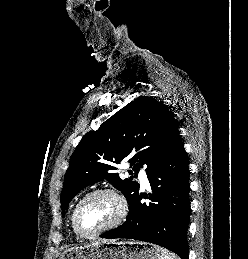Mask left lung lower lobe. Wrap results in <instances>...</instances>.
Masks as SVG:
<instances>
[{
  "instance_id": "obj_1",
  "label": "left lung lower lobe",
  "mask_w": 248,
  "mask_h": 259,
  "mask_svg": "<svg viewBox=\"0 0 248 259\" xmlns=\"http://www.w3.org/2000/svg\"><path fill=\"white\" fill-rule=\"evenodd\" d=\"M186 152L181 142L147 174L154 203H141L137 194L129 204L125 223L101 235L102 238H129L150 242L189 259L187 228L191 212Z\"/></svg>"
}]
</instances>
